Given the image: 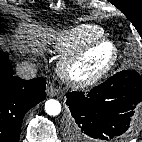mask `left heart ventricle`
Masks as SVG:
<instances>
[{"label":"left heart ventricle","instance_id":"obj_1","mask_svg":"<svg viewBox=\"0 0 142 142\" xmlns=\"http://www.w3.org/2000/svg\"><path fill=\"white\" fill-rule=\"evenodd\" d=\"M108 57V47H102L96 50L77 67V73L81 76L92 74L104 65Z\"/></svg>","mask_w":142,"mask_h":142}]
</instances>
